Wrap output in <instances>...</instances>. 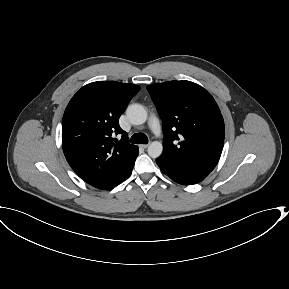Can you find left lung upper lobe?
<instances>
[{
    "instance_id": "1",
    "label": "left lung upper lobe",
    "mask_w": 289,
    "mask_h": 289,
    "mask_svg": "<svg viewBox=\"0 0 289 289\" xmlns=\"http://www.w3.org/2000/svg\"><path fill=\"white\" fill-rule=\"evenodd\" d=\"M164 126V150L169 166L211 172L219 161L225 136L220 109L210 93L190 81L147 86Z\"/></svg>"
}]
</instances>
